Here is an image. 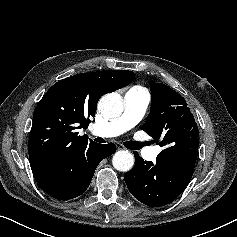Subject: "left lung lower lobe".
<instances>
[{"label": "left lung lower lobe", "instance_id": "left-lung-lower-lobe-1", "mask_svg": "<svg viewBox=\"0 0 237 237\" xmlns=\"http://www.w3.org/2000/svg\"><path fill=\"white\" fill-rule=\"evenodd\" d=\"M135 166L125 173L130 193L143 204L159 207L173 202L189 183L194 166L170 164L161 159L156 163L144 161L137 152Z\"/></svg>", "mask_w": 237, "mask_h": 237}]
</instances>
